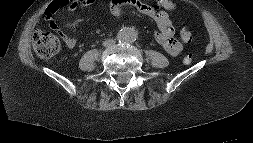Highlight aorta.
I'll list each match as a JSON object with an SVG mask.
<instances>
[{
    "instance_id": "1",
    "label": "aorta",
    "mask_w": 253,
    "mask_h": 143,
    "mask_svg": "<svg viewBox=\"0 0 253 143\" xmlns=\"http://www.w3.org/2000/svg\"><path fill=\"white\" fill-rule=\"evenodd\" d=\"M136 38L137 31L131 27L122 28L117 34V39L122 43H132Z\"/></svg>"
}]
</instances>
